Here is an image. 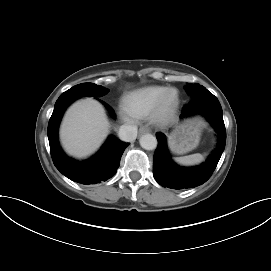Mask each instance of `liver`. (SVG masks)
Returning a JSON list of instances; mask_svg holds the SVG:
<instances>
[{
	"mask_svg": "<svg viewBox=\"0 0 271 271\" xmlns=\"http://www.w3.org/2000/svg\"><path fill=\"white\" fill-rule=\"evenodd\" d=\"M110 124L102 105L86 98L74 103L66 112L60 138L72 156L84 158L94 153L109 133Z\"/></svg>",
	"mask_w": 271,
	"mask_h": 271,
	"instance_id": "6515ba94",
	"label": "liver"
}]
</instances>
